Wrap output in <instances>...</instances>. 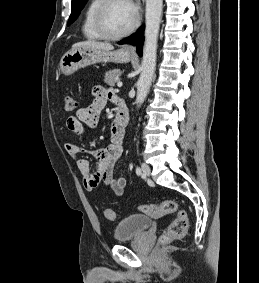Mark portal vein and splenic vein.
<instances>
[{"label": "portal vein and splenic vein", "mask_w": 259, "mask_h": 283, "mask_svg": "<svg viewBox=\"0 0 259 283\" xmlns=\"http://www.w3.org/2000/svg\"><path fill=\"white\" fill-rule=\"evenodd\" d=\"M117 86H118V87H122V82H121V81H118V82H117Z\"/></svg>", "instance_id": "portal-vein-and-splenic-vein-1"}]
</instances>
